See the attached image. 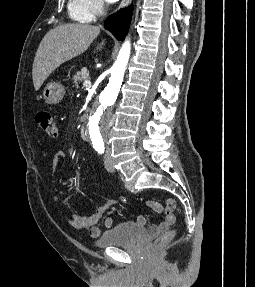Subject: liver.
<instances>
[{
	"label": "liver",
	"instance_id": "liver-1",
	"mask_svg": "<svg viewBox=\"0 0 255 287\" xmlns=\"http://www.w3.org/2000/svg\"><path fill=\"white\" fill-rule=\"evenodd\" d=\"M100 34L98 26L90 24H63L44 36L33 62L32 76L35 90L64 62L88 50ZM104 46L99 44L97 50Z\"/></svg>",
	"mask_w": 255,
	"mask_h": 287
}]
</instances>
